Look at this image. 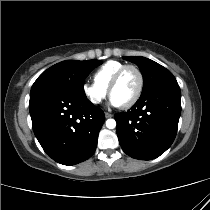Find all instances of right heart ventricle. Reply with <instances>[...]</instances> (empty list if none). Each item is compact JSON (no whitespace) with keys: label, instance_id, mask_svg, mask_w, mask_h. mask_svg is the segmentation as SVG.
Here are the masks:
<instances>
[{"label":"right heart ventricle","instance_id":"right-heart-ventricle-1","mask_svg":"<svg viewBox=\"0 0 210 210\" xmlns=\"http://www.w3.org/2000/svg\"><path fill=\"white\" fill-rule=\"evenodd\" d=\"M123 62L110 60L101 65L93 74L94 83L101 88L108 90L109 84Z\"/></svg>","mask_w":210,"mask_h":210}]
</instances>
